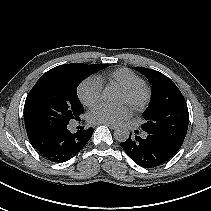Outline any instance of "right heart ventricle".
I'll use <instances>...</instances> for the list:
<instances>
[{"label": "right heart ventricle", "mask_w": 211, "mask_h": 211, "mask_svg": "<svg viewBox=\"0 0 211 211\" xmlns=\"http://www.w3.org/2000/svg\"><path fill=\"white\" fill-rule=\"evenodd\" d=\"M100 82H110L119 85L122 89L143 84V79L128 68H118L107 74L97 77Z\"/></svg>", "instance_id": "obj_1"}]
</instances>
